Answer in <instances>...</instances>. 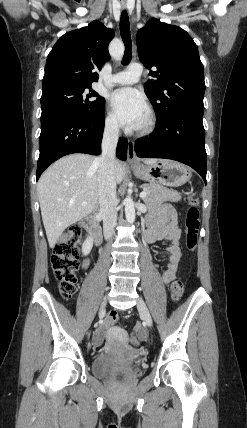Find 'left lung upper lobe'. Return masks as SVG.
<instances>
[{
	"instance_id": "1",
	"label": "left lung upper lobe",
	"mask_w": 247,
	"mask_h": 428,
	"mask_svg": "<svg viewBox=\"0 0 247 428\" xmlns=\"http://www.w3.org/2000/svg\"><path fill=\"white\" fill-rule=\"evenodd\" d=\"M138 56L157 80L147 82L144 90L157 119L176 107L204 110V69L198 48L180 27L153 18L137 33Z\"/></svg>"
}]
</instances>
